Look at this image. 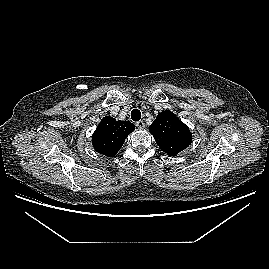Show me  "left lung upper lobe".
<instances>
[{"instance_id":"left-lung-upper-lobe-1","label":"left lung upper lobe","mask_w":269,"mask_h":269,"mask_svg":"<svg viewBox=\"0 0 269 269\" xmlns=\"http://www.w3.org/2000/svg\"><path fill=\"white\" fill-rule=\"evenodd\" d=\"M149 129L160 149L169 156H176L192 141L187 125L168 110L159 113Z\"/></svg>"}]
</instances>
